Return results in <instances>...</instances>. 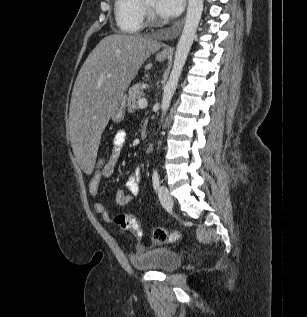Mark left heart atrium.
Wrapping results in <instances>:
<instances>
[{
	"mask_svg": "<svg viewBox=\"0 0 307 317\" xmlns=\"http://www.w3.org/2000/svg\"><path fill=\"white\" fill-rule=\"evenodd\" d=\"M184 7V0H156L155 9L158 14L165 17L179 15Z\"/></svg>",
	"mask_w": 307,
	"mask_h": 317,
	"instance_id": "obj_1",
	"label": "left heart atrium"
}]
</instances>
